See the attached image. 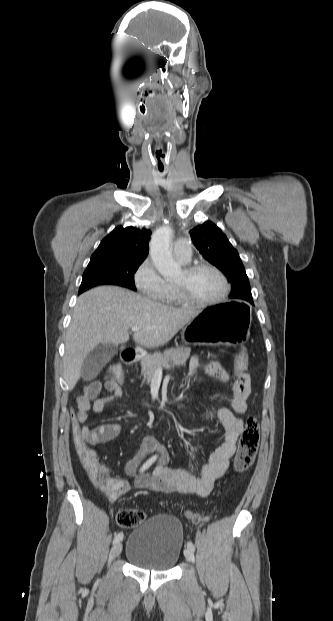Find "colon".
<instances>
[{"label": "colon", "mask_w": 333, "mask_h": 621, "mask_svg": "<svg viewBox=\"0 0 333 621\" xmlns=\"http://www.w3.org/2000/svg\"><path fill=\"white\" fill-rule=\"evenodd\" d=\"M248 355L244 349H241L236 357L234 381L241 378L247 373ZM107 375L115 379L119 384L124 383V374L120 366L111 365L106 371ZM207 418L217 416V412H207ZM73 442L78 458L87 473L91 482L100 489L105 495L109 496L113 493L114 487L111 477L106 473L105 468L99 463L95 453L88 446L87 440L84 438L81 427L77 419H72ZM260 429L258 421L250 417L248 418L245 428L239 439L238 451L235 457L234 470L238 473L248 470L256 458L259 447ZM189 517L195 522H201V517L196 514H190ZM145 519V514L138 509H123L116 518L117 524L123 528H132L140 525Z\"/></svg>", "instance_id": "colon-1"}]
</instances>
